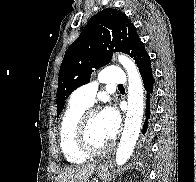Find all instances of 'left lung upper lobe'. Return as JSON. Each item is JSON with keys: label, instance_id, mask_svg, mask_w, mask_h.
Wrapping results in <instances>:
<instances>
[{"label": "left lung upper lobe", "instance_id": "obj_1", "mask_svg": "<svg viewBox=\"0 0 196 182\" xmlns=\"http://www.w3.org/2000/svg\"><path fill=\"white\" fill-rule=\"evenodd\" d=\"M129 54L139 64L148 55L135 26L115 9H105L89 21L78 39L67 49L59 70L57 115L66 99L78 87L90 81L93 68L108 64L113 52Z\"/></svg>", "mask_w": 196, "mask_h": 182}]
</instances>
